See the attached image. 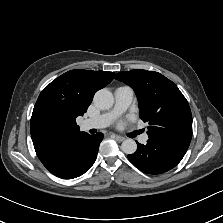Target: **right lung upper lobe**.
I'll return each instance as SVG.
<instances>
[{"label":"right lung upper lobe","instance_id":"1","mask_svg":"<svg viewBox=\"0 0 223 223\" xmlns=\"http://www.w3.org/2000/svg\"><path fill=\"white\" fill-rule=\"evenodd\" d=\"M114 72L71 70L53 80L34 106L30 131L42 163L62 153L83 132L76 124L92 102L95 92L113 78Z\"/></svg>","mask_w":223,"mask_h":223}]
</instances>
